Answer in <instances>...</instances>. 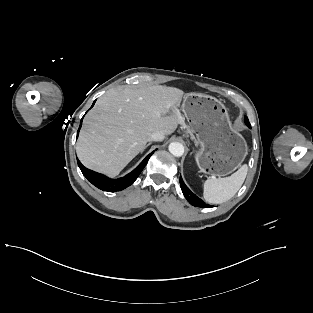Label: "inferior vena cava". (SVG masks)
Returning a JSON list of instances; mask_svg holds the SVG:
<instances>
[{"label":"inferior vena cava","instance_id":"1","mask_svg":"<svg viewBox=\"0 0 313 313\" xmlns=\"http://www.w3.org/2000/svg\"><path fill=\"white\" fill-rule=\"evenodd\" d=\"M164 138L165 134L162 131H155L149 136L148 141H162Z\"/></svg>","mask_w":313,"mask_h":313}]
</instances>
